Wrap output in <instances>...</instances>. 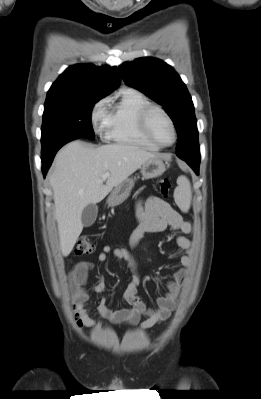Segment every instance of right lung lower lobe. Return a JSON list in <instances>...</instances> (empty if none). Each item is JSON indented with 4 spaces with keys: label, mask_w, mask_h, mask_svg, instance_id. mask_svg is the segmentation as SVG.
Here are the masks:
<instances>
[{
    "label": "right lung lower lobe",
    "mask_w": 261,
    "mask_h": 399,
    "mask_svg": "<svg viewBox=\"0 0 261 399\" xmlns=\"http://www.w3.org/2000/svg\"><path fill=\"white\" fill-rule=\"evenodd\" d=\"M78 138L80 137L74 135H67L43 146L41 159H42V171L44 176L46 175L49 167L51 166V163L57 151L66 143Z\"/></svg>",
    "instance_id": "obj_1"
}]
</instances>
